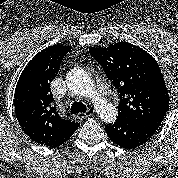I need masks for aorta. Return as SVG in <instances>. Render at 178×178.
I'll list each match as a JSON object with an SVG mask.
<instances>
[{
    "label": "aorta",
    "mask_w": 178,
    "mask_h": 178,
    "mask_svg": "<svg viewBox=\"0 0 178 178\" xmlns=\"http://www.w3.org/2000/svg\"><path fill=\"white\" fill-rule=\"evenodd\" d=\"M68 88L77 95H92V80L90 76L82 69H75L68 73L66 77ZM95 109L102 120L107 123L113 122L117 117L116 107L103 100L95 97L94 99Z\"/></svg>",
    "instance_id": "762f6f07"
}]
</instances>
